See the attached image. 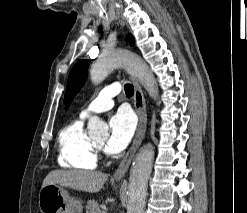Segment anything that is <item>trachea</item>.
Returning <instances> with one entry per match:
<instances>
[{"mask_svg": "<svg viewBox=\"0 0 247 213\" xmlns=\"http://www.w3.org/2000/svg\"><path fill=\"white\" fill-rule=\"evenodd\" d=\"M125 93L127 96H132L134 94V87L131 84H125Z\"/></svg>", "mask_w": 247, "mask_h": 213, "instance_id": "obj_1", "label": "trachea"}]
</instances>
